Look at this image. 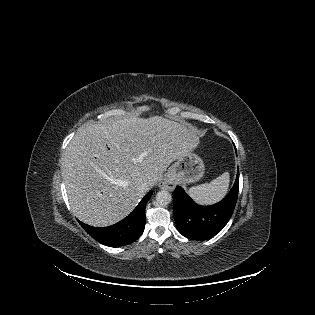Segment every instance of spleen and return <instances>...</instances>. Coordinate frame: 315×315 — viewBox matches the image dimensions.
Instances as JSON below:
<instances>
[{"instance_id":"spleen-1","label":"spleen","mask_w":315,"mask_h":315,"mask_svg":"<svg viewBox=\"0 0 315 315\" xmlns=\"http://www.w3.org/2000/svg\"><path fill=\"white\" fill-rule=\"evenodd\" d=\"M229 182V173L225 172L210 183L191 187L188 190V194L195 202L201 205L214 204L225 197L228 191Z\"/></svg>"}]
</instances>
